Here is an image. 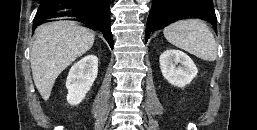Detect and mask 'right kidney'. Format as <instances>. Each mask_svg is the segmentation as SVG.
<instances>
[{
    "label": "right kidney",
    "instance_id": "1",
    "mask_svg": "<svg viewBox=\"0 0 257 130\" xmlns=\"http://www.w3.org/2000/svg\"><path fill=\"white\" fill-rule=\"evenodd\" d=\"M98 74V58L87 55L75 63L68 74L66 88L67 101L71 105L79 104L91 89Z\"/></svg>",
    "mask_w": 257,
    "mask_h": 130
}]
</instances>
